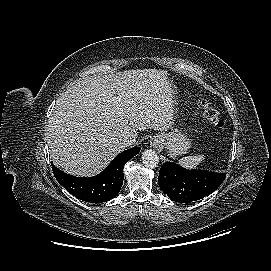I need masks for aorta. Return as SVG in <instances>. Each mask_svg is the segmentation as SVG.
Returning a JSON list of instances; mask_svg holds the SVG:
<instances>
[{"label": "aorta", "instance_id": "aorta-1", "mask_svg": "<svg viewBox=\"0 0 271 271\" xmlns=\"http://www.w3.org/2000/svg\"><path fill=\"white\" fill-rule=\"evenodd\" d=\"M142 162L148 168H154L159 163L157 153L151 149H147L142 153Z\"/></svg>", "mask_w": 271, "mask_h": 271}]
</instances>
